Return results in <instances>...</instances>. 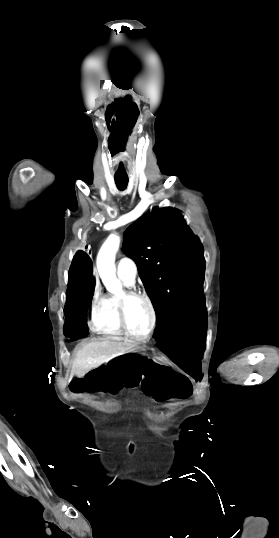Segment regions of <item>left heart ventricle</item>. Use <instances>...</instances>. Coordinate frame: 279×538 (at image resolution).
Instances as JSON below:
<instances>
[{"mask_svg": "<svg viewBox=\"0 0 279 538\" xmlns=\"http://www.w3.org/2000/svg\"><path fill=\"white\" fill-rule=\"evenodd\" d=\"M103 209H111V207H100ZM96 219L101 221V215H97ZM127 324L130 330L138 335L145 334L151 323V312L148 305L140 299L131 301L127 306L126 311Z\"/></svg>", "mask_w": 279, "mask_h": 538, "instance_id": "obj_1", "label": "left heart ventricle"}]
</instances>
